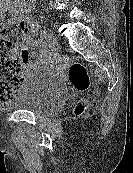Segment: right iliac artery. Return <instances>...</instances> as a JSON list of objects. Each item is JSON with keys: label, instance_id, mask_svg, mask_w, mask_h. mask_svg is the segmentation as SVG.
Segmentation results:
<instances>
[{"label": "right iliac artery", "instance_id": "1", "mask_svg": "<svg viewBox=\"0 0 133 173\" xmlns=\"http://www.w3.org/2000/svg\"><path fill=\"white\" fill-rule=\"evenodd\" d=\"M48 43H49L48 41H43V47L47 48Z\"/></svg>", "mask_w": 133, "mask_h": 173}]
</instances>
